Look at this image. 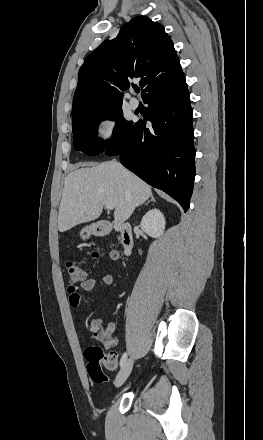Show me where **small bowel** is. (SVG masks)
<instances>
[{"instance_id":"c3829d8e","label":"small bowel","mask_w":263,"mask_h":440,"mask_svg":"<svg viewBox=\"0 0 263 440\" xmlns=\"http://www.w3.org/2000/svg\"><path fill=\"white\" fill-rule=\"evenodd\" d=\"M114 282L112 274H104L99 278H87L79 286L68 288L69 302L74 308L81 304L80 290L93 291L99 286H110ZM116 329L115 322L110 321L105 327L101 319H94L88 325L90 332H95L101 339L105 349H114L119 345V340L114 336Z\"/></svg>"}]
</instances>
